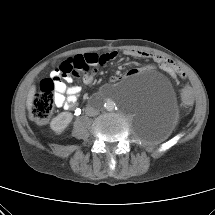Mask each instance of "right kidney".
Instances as JSON below:
<instances>
[{"mask_svg": "<svg viewBox=\"0 0 215 215\" xmlns=\"http://www.w3.org/2000/svg\"><path fill=\"white\" fill-rule=\"evenodd\" d=\"M73 115L69 112H62L52 119L50 127L57 134L62 133L72 121Z\"/></svg>", "mask_w": 215, "mask_h": 215, "instance_id": "right-kidney-1", "label": "right kidney"}]
</instances>
